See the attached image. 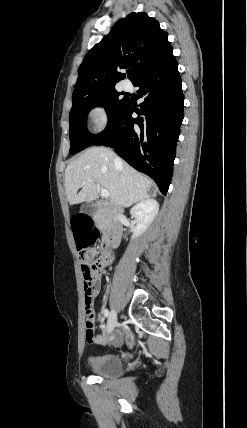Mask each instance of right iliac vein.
<instances>
[{
    "instance_id": "right-iliac-vein-1",
    "label": "right iliac vein",
    "mask_w": 247,
    "mask_h": 428,
    "mask_svg": "<svg viewBox=\"0 0 247 428\" xmlns=\"http://www.w3.org/2000/svg\"><path fill=\"white\" fill-rule=\"evenodd\" d=\"M116 325H117V313L115 310H112L108 318L107 331L108 332L113 331Z\"/></svg>"
}]
</instances>
